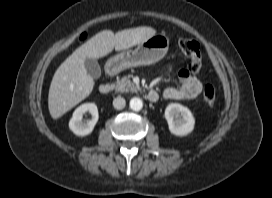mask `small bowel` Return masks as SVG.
I'll return each mask as SVG.
<instances>
[{
    "label": "small bowel",
    "instance_id": "1",
    "mask_svg": "<svg viewBox=\"0 0 272 198\" xmlns=\"http://www.w3.org/2000/svg\"><path fill=\"white\" fill-rule=\"evenodd\" d=\"M180 85L178 87L166 88L162 96L168 100H192L196 98L202 91V82L190 75L185 69L178 71Z\"/></svg>",
    "mask_w": 272,
    "mask_h": 198
}]
</instances>
